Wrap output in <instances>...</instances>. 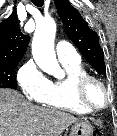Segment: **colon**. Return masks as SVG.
Listing matches in <instances>:
<instances>
[{"mask_svg":"<svg viewBox=\"0 0 117 136\" xmlns=\"http://www.w3.org/2000/svg\"><path fill=\"white\" fill-rule=\"evenodd\" d=\"M94 135H95V136H100L101 133H100L99 131H97V132L94 133Z\"/></svg>","mask_w":117,"mask_h":136,"instance_id":"obj_1","label":"colon"}]
</instances>
